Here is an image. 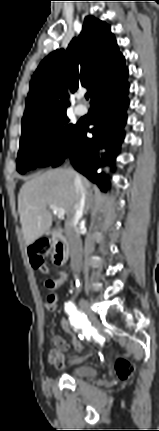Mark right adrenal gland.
<instances>
[{
  "label": "right adrenal gland",
  "instance_id": "obj_1",
  "mask_svg": "<svg viewBox=\"0 0 159 431\" xmlns=\"http://www.w3.org/2000/svg\"><path fill=\"white\" fill-rule=\"evenodd\" d=\"M92 197H93L92 191H89L87 193V200H86V206H85V209H84V214H87V212H88V210L90 208V202L92 200Z\"/></svg>",
  "mask_w": 159,
  "mask_h": 431
}]
</instances>
